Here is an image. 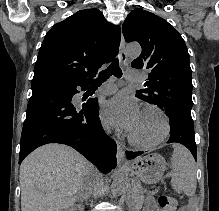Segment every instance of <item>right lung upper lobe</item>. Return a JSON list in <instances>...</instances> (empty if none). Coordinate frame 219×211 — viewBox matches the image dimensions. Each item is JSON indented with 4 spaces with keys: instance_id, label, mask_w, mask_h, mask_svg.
Returning a JSON list of instances; mask_svg holds the SVG:
<instances>
[{
    "instance_id": "right-lung-upper-lobe-1",
    "label": "right lung upper lobe",
    "mask_w": 219,
    "mask_h": 211,
    "mask_svg": "<svg viewBox=\"0 0 219 211\" xmlns=\"http://www.w3.org/2000/svg\"><path fill=\"white\" fill-rule=\"evenodd\" d=\"M120 27L97 8L80 10L46 34L35 64L32 85L91 83L98 69L117 54Z\"/></svg>"
}]
</instances>
